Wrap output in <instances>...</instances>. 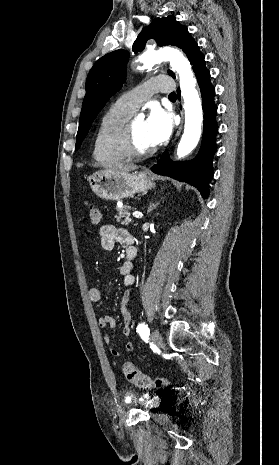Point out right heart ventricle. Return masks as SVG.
<instances>
[{
  "instance_id": "1",
  "label": "right heart ventricle",
  "mask_w": 279,
  "mask_h": 465,
  "mask_svg": "<svg viewBox=\"0 0 279 465\" xmlns=\"http://www.w3.org/2000/svg\"><path fill=\"white\" fill-rule=\"evenodd\" d=\"M132 114V111L117 102L103 114L96 131L92 151L93 158L97 162L113 163L125 158L114 149L113 140Z\"/></svg>"
}]
</instances>
